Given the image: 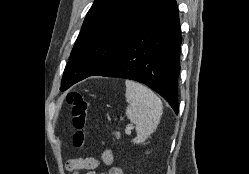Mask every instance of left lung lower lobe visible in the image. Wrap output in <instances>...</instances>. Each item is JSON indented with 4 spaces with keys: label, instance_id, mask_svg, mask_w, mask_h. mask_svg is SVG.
Instances as JSON below:
<instances>
[{
    "label": "left lung lower lobe",
    "instance_id": "1",
    "mask_svg": "<svg viewBox=\"0 0 249 174\" xmlns=\"http://www.w3.org/2000/svg\"><path fill=\"white\" fill-rule=\"evenodd\" d=\"M180 31L176 0H166L118 55L93 75L144 83L159 93L178 114Z\"/></svg>",
    "mask_w": 249,
    "mask_h": 174
}]
</instances>
